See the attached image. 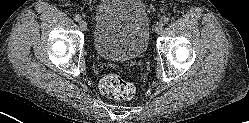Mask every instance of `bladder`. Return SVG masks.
<instances>
[{
	"label": "bladder",
	"mask_w": 249,
	"mask_h": 123,
	"mask_svg": "<svg viewBox=\"0 0 249 123\" xmlns=\"http://www.w3.org/2000/svg\"><path fill=\"white\" fill-rule=\"evenodd\" d=\"M150 23L141 0H104L96 12L93 46L108 60L140 57L148 46Z\"/></svg>",
	"instance_id": "obj_1"
}]
</instances>
